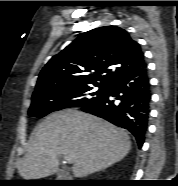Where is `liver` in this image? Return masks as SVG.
<instances>
[{
	"instance_id": "liver-1",
	"label": "liver",
	"mask_w": 178,
	"mask_h": 186,
	"mask_svg": "<svg viewBox=\"0 0 178 186\" xmlns=\"http://www.w3.org/2000/svg\"><path fill=\"white\" fill-rule=\"evenodd\" d=\"M128 133L96 116L75 109L51 113L35 129L17 168L25 180L58 171L59 157L72 158L77 178L106 169L130 151Z\"/></svg>"
}]
</instances>
